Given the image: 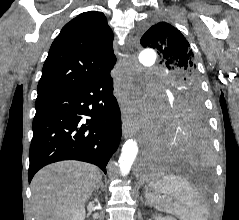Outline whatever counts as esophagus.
Instances as JSON below:
<instances>
[{
  "mask_svg": "<svg viewBox=\"0 0 239 220\" xmlns=\"http://www.w3.org/2000/svg\"><path fill=\"white\" fill-rule=\"evenodd\" d=\"M126 109H121L120 110V117L121 118H124L125 117V114H126ZM127 119L126 118H124L123 119V133H124V136L126 137V136H128V134H129V131H128V127H127Z\"/></svg>",
  "mask_w": 239,
  "mask_h": 220,
  "instance_id": "34e87169",
  "label": "esophagus"
}]
</instances>
